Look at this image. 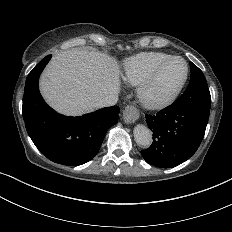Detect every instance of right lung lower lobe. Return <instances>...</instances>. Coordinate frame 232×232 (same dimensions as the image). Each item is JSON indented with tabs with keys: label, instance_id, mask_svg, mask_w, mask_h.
<instances>
[{
	"label": "right lung lower lobe",
	"instance_id": "98d812e1",
	"mask_svg": "<svg viewBox=\"0 0 232 232\" xmlns=\"http://www.w3.org/2000/svg\"><path fill=\"white\" fill-rule=\"evenodd\" d=\"M51 57L43 58L27 76L23 119L33 143L48 159L62 165H81L97 154L106 132L118 122L120 109L106 107L78 117L56 113L38 89L39 76Z\"/></svg>",
	"mask_w": 232,
	"mask_h": 232
}]
</instances>
